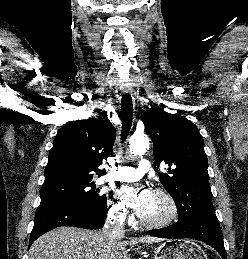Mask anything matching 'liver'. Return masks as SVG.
<instances>
[{
    "label": "liver",
    "mask_w": 248,
    "mask_h": 259,
    "mask_svg": "<svg viewBox=\"0 0 248 259\" xmlns=\"http://www.w3.org/2000/svg\"><path fill=\"white\" fill-rule=\"evenodd\" d=\"M110 239L103 231L63 226L39 237L29 250V259H130L127 246L153 244L152 236Z\"/></svg>",
    "instance_id": "1"
}]
</instances>
